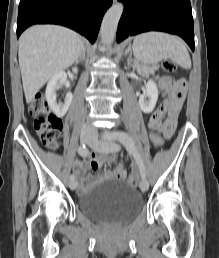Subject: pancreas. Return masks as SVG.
I'll return each mask as SVG.
<instances>
[{
    "label": "pancreas",
    "instance_id": "cf45deb5",
    "mask_svg": "<svg viewBox=\"0 0 219 258\" xmlns=\"http://www.w3.org/2000/svg\"><path fill=\"white\" fill-rule=\"evenodd\" d=\"M134 68H136L139 72L154 73L159 69V65L155 64L152 66H146V65L135 63Z\"/></svg>",
    "mask_w": 219,
    "mask_h": 258
}]
</instances>
